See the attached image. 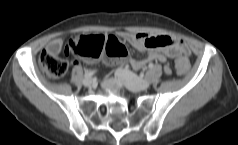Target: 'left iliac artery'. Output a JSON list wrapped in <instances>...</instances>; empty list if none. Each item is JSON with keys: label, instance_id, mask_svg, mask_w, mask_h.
<instances>
[{"label": "left iliac artery", "instance_id": "44dca946", "mask_svg": "<svg viewBox=\"0 0 238 145\" xmlns=\"http://www.w3.org/2000/svg\"><path fill=\"white\" fill-rule=\"evenodd\" d=\"M148 67H149L150 69L153 68V64L150 63V64L148 65Z\"/></svg>", "mask_w": 238, "mask_h": 145}]
</instances>
